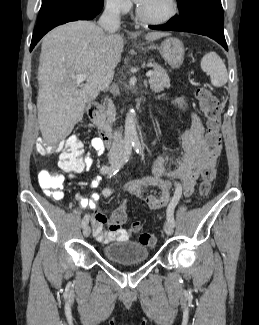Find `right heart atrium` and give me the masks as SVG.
Returning a JSON list of instances; mask_svg holds the SVG:
<instances>
[{"label":"right heart atrium","instance_id":"d8ad5b80","mask_svg":"<svg viewBox=\"0 0 259 325\" xmlns=\"http://www.w3.org/2000/svg\"><path fill=\"white\" fill-rule=\"evenodd\" d=\"M105 6L112 12L126 13L131 8L130 0H104Z\"/></svg>","mask_w":259,"mask_h":325}]
</instances>
